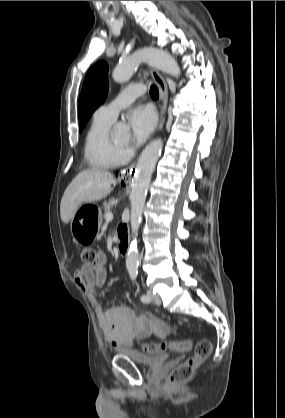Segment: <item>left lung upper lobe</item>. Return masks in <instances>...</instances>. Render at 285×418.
<instances>
[{"label":"left lung upper lobe","instance_id":"5c2ea615","mask_svg":"<svg viewBox=\"0 0 285 418\" xmlns=\"http://www.w3.org/2000/svg\"><path fill=\"white\" fill-rule=\"evenodd\" d=\"M108 65L97 62L87 73L79 98V130L82 131L92 113L108 94Z\"/></svg>","mask_w":285,"mask_h":418}]
</instances>
